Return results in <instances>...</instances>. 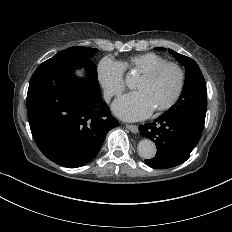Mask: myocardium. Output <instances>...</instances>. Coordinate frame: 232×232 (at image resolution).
Wrapping results in <instances>:
<instances>
[{"label": "myocardium", "mask_w": 232, "mask_h": 232, "mask_svg": "<svg viewBox=\"0 0 232 232\" xmlns=\"http://www.w3.org/2000/svg\"><path fill=\"white\" fill-rule=\"evenodd\" d=\"M172 66L174 68L177 69L179 75H180V83H179V87L176 91V93L174 94V96L172 97V99L163 107L155 110V112L157 114H162L165 113L167 111H169L170 109H172L176 103L178 102V100L180 99L183 91H184V87H185V82H186V74L184 69L182 68V66L176 62H172V61H166L164 63L158 64L155 67H153L152 69H150L149 71H147L146 73L140 75V79L144 80V81H150L152 80L161 70H163L166 67Z\"/></svg>", "instance_id": "1"}]
</instances>
